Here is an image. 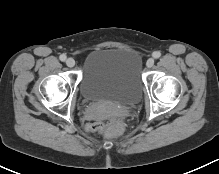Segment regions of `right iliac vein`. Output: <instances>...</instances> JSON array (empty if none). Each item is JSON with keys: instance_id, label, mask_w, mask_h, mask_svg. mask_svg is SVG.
Wrapping results in <instances>:
<instances>
[{"instance_id": "obj_1", "label": "right iliac vein", "mask_w": 219, "mask_h": 174, "mask_svg": "<svg viewBox=\"0 0 219 174\" xmlns=\"http://www.w3.org/2000/svg\"><path fill=\"white\" fill-rule=\"evenodd\" d=\"M66 65H67L68 67H74V66H75V60H74L73 58H68V59L66 60Z\"/></svg>"}]
</instances>
